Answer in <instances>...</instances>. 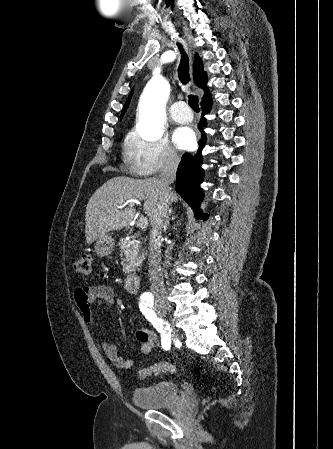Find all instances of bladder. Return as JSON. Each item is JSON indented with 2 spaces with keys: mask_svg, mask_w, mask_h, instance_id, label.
<instances>
[{
  "mask_svg": "<svg viewBox=\"0 0 333 449\" xmlns=\"http://www.w3.org/2000/svg\"><path fill=\"white\" fill-rule=\"evenodd\" d=\"M181 395V389L174 381H160L134 389L132 400L141 409H162L173 406Z\"/></svg>",
  "mask_w": 333,
  "mask_h": 449,
  "instance_id": "1",
  "label": "bladder"
}]
</instances>
